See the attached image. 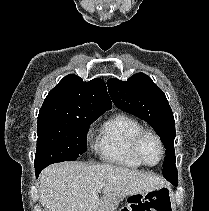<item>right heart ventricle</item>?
Returning <instances> with one entry per match:
<instances>
[{"label": "right heart ventricle", "instance_id": "right-heart-ventricle-1", "mask_svg": "<svg viewBox=\"0 0 209 211\" xmlns=\"http://www.w3.org/2000/svg\"><path fill=\"white\" fill-rule=\"evenodd\" d=\"M142 128L136 119L127 114L112 115L100 124L94 149L108 163L140 168L142 163L133 152L132 142Z\"/></svg>", "mask_w": 209, "mask_h": 211}]
</instances>
